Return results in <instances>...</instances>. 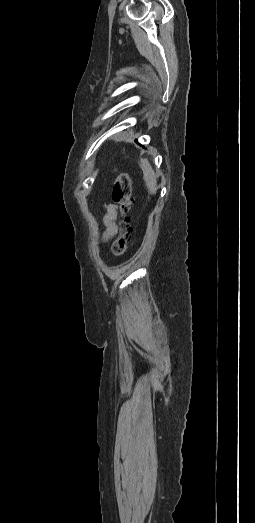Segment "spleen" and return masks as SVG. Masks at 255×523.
Returning <instances> with one entry per match:
<instances>
[{
    "label": "spleen",
    "instance_id": "1",
    "mask_svg": "<svg viewBox=\"0 0 255 523\" xmlns=\"http://www.w3.org/2000/svg\"><path fill=\"white\" fill-rule=\"evenodd\" d=\"M140 166L143 170V180L146 182V186L151 194H156L157 182L154 170H152L147 158H141Z\"/></svg>",
    "mask_w": 255,
    "mask_h": 523
}]
</instances>
